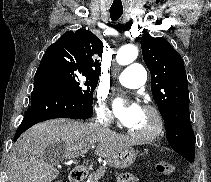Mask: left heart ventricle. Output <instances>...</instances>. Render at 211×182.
Instances as JSON below:
<instances>
[{
	"label": "left heart ventricle",
	"instance_id": "left-heart-ventricle-1",
	"mask_svg": "<svg viewBox=\"0 0 211 182\" xmlns=\"http://www.w3.org/2000/svg\"><path fill=\"white\" fill-rule=\"evenodd\" d=\"M155 118L152 113L142 109L137 121L129 128L139 134H148L155 127Z\"/></svg>",
	"mask_w": 211,
	"mask_h": 182
}]
</instances>
